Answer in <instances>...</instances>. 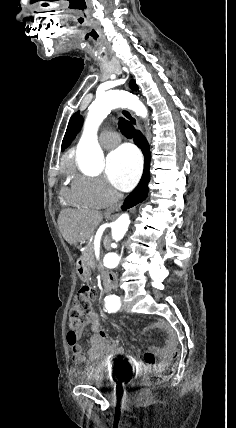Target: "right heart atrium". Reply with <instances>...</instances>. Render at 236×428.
Wrapping results in <instances>:
<instances>
[{"label": "right heart atrium", "mask_w": 236, "mask_h": 428, "mask_svg": "<svg viewBox=\"0 0 236 428\" xmlns=\"http://www.w3.org/2000/svg\"><path fill=\"white\" fill-rule=\"evenodd\" d=\"M73 191L77 200L85 206H108L120 197L104 179L83 175L75 177Z\"/></svg>", "instance_id": "1"}]
</instances>
